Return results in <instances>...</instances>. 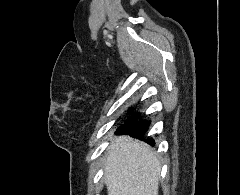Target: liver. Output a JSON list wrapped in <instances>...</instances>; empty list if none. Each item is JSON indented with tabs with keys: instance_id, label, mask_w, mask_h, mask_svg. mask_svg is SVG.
I'll use <instances>...</instances> for the list:
<instances>
[{
	"instance_id": "obj_1",
	"label": "liver",
	"mask_w": 240,
	"mask_h": 195,
	"mask_svg": "<svg viewBox=\"0 0 240 195\" xmlns=\"http://www.w3.org/2000/svg\"><path fill=\"white\" fill-rule=\"evenodd\" d=\"M161 163L150 145L118 135L106 149L108 195H158Z\"/></svg>"
}]
</instances>
